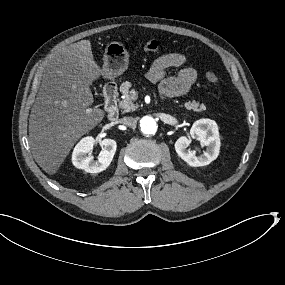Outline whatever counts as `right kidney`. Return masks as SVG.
I'll return each instance as SVG.
<instances>
[{
  "instance_id": "ca27d5eb",
  "label": "right kidney",
  "mask_w": 285,
  "mask_h": 285,
  "mask_svg": "<svg viewBox=\"0 0 285 285\" xmlns=\"http://www.w3.org/2000/svg\"><path fill=\"white\" fill-rule=\"evenodd\" d=\"M94 143L95 139L88 136L82 138L75 146L72 153V163L76 168L83 169L88 173H99L110 165L116 152V141L112 139L102 140L100 142L102 150L97 160L87 155L93 149Z\"/></svg>"
}]
</instances>
